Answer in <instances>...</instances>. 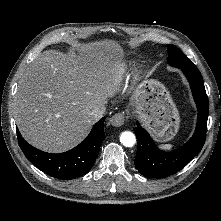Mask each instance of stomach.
Here are the masks:
<instances>
[{
    "label": "stomach",
    "mask_w": 221,
    "mask_h": 221,
    "mask_svg": "<svg viewBox=\"0 0 221 221\" xmlns=\"http://www.w3.org/2000/svg\"><path fill=\"white\" fill-rule=\"evenodd\" d=\"M135 101L141 122L157 142H168L176 136L180 126L179 112L161 82L144 80L136 89Z\"/></svg>",
    "instance_id": "stomach-1"
}]
</instances>
